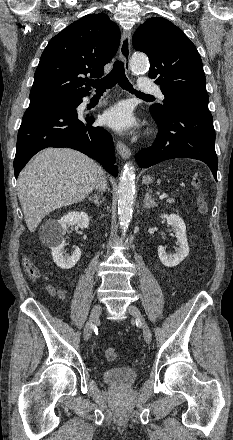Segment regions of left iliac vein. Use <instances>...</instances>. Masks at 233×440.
I'll return each mask as SVG.
<instances>
[{"mask_svg": "<svg viewBox=\"0 0 233 440\" xmlns=\"http://www.w3.org/2000/svg\"><path fill=\"white\" fill-rule=\"evenodd\" d=\"M128 313L138 322H140L143 326V332H144V339L146 341V343H150L151 339H152V335H151V331L145 321V318L143 317V315L141 314L140 310L134 306V305H129L128 306Z\"/></svg>", "mask_w": 233, "mask_h": 440, "instance_id": "4c4485c4", "label": "left iliac vein"}]
</instances>
